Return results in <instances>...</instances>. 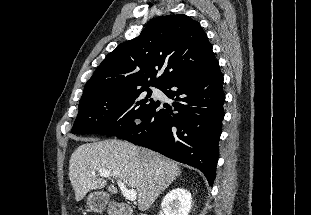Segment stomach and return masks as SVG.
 <instances>
[{
    "label": "stomach",
    "instance_id": "1",
    "mask_svg": "<svg viewBox=\"0 0 311 215\" xmlns=\"http://www.w3.org/2000/svg\"><path fill=\"white\" fill-rule=\"evenodd\" d=\"M109 203V195L105 192H93L87 197V205L91 211L101 213ZM108 214L116 215L117 208L111 202L108 204Z\"/></svg>",
    "mask_w": 311,
    "mask_h": 215
}]
</instances>
